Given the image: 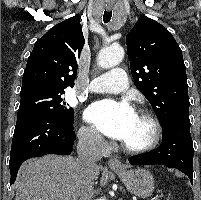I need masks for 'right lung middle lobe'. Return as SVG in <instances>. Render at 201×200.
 <instances>
[{"mask_svg": "<svg viewBox=\"0 0 201 200\" xmlns=\"http://www.w3.org/2000/svg\"><path fill=\"white\" fill-rule=\"evenodd\" d=\"M64 91L35 90L20 93L21 102L17 118L31 114H49L67 122H72L74 113L61 95Z\"/></svg>", "mask_w": 201, "mask_h": 200, "instance_id": "1", "label": "right lung middle lobe"}]
</instances>
